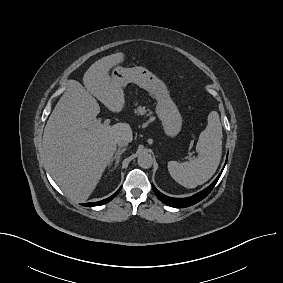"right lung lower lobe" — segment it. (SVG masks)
<instances>
[{
    "instance_id": "right-lung-lower-lobe-1",
    "label": "right lung lower lobe",
    "mask_w": 283,
    "mask_h": 283,
    "mask_svg": "<svg viewBox=\"0 0 283 283\" xmlns=\"http://www.w3.org/2000/svg\"><path fill=\"white\" fill-rule=\"evenodd\" d=\"M120 189H121V188H120ZM120 189H119L116 193H114L112 196H110V197H108V198H106V199H104V200H102V201L92 202V203H84V204H82V205H83V206H86V207H92V206L103 205V204H105V203L111 201V200L119 193Z\"/></svg>"
}]
</instances>
